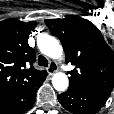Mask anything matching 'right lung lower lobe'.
I'll return each mask as SVG.
<instances>
[{"mask_svg":"<svg viewBox=\"0 0 114 114\" xmlns=\"http://www.w3.org/2000/svg\"><path fill=\"white\" fill-rule=\"evenodd\" d=\"M46 75L33 84L24 86L0 98V114H20L30 109L36 101V92Z\"/></svg>","mask_w":114,"mask_h":114,"instance_id":"obj_1","label":"right lung lower lobe"}]
</instances>
